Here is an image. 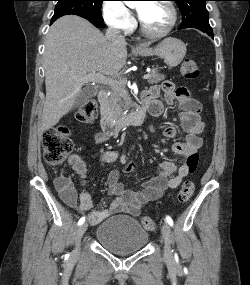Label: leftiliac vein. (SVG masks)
Listing matches in <instances>:
<instances>
[{"label": "left iliac vein", "instance_id": "left-iliac-vein-1", "mask_svg": "<svg viewBox=\"0 0 250 285\" xmlns=\"http://www.w3.org/2000/svg\"><path fill=\"white\" fill-rule=\"evenodd\" d=\"M162 235L164 238V256L166 258H171L172 253H171V238H172V233H171V228L168 223H164L162 226Z\"/></svg>", "mask_w": 250, "mask_h": 285}]
</instances>
